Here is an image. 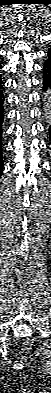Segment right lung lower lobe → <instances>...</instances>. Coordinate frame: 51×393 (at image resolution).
Here are the masks:
<instances>
[{"label":"right lung lower lobe","mask_w":51,"mask_h":393,"mask_svg":"<svg viewBox=\"0 0 51 393\" xmlns=\"http://www.w3.org/2000/svg\"><path fill=\"white\" fill-rule=\"evenodd\" d=\"M2 80L0 75V173L3 171V160H2V133H3V120H4V96L2 91Z\"/></svg>","instance_id":"obj_1"}]
</instances>
